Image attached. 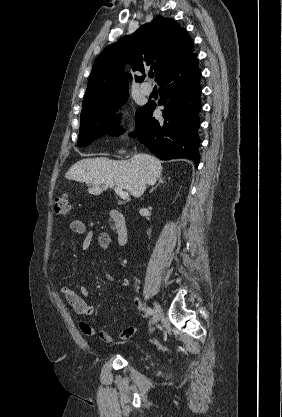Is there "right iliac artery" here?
I'll return each mask as SVG.
<instances>
[{
  "label": "right iliac artery",
  "instance_id": "1",
  "mask_svg": "<svg viewBox=\"0 0 282 417\" xmlns=\"http://www.w3.org/2000/svg\"><path fill=\"white\" fill-rule=\"evenodd\" d=\"M141 308L144 309V310H146V313L149 314V315H153L154 314L153 309L150 308V307L145 308L144 306H141Z\"/></svg>",
  "mask_w": 282,
  "mask_h": 417
}]
</instances>
